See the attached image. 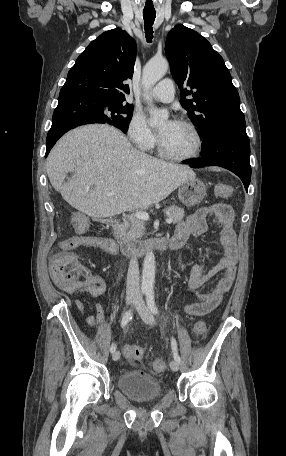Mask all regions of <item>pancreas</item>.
Returning <instances> with one entry per match:
<instances>
[{
  "mask_svg": "<svg viewBox=\"0 0 286 456\" xmlns=\"http://www.w3.org/2000/svg\"><path fill=\"white\" fill-rule=\"evenodd\" d=\"M166 213L172 218L173 223L176 224L184 218V209L171 205L166 209ZM144 221L136 218L135 216H130L124 220V223L121 224L117 229L118 237L124 242H135L138 238H141L145 232Z\"/></svg>",
  "mask_w": 286,
  "mask_h": 456,
  "instance_id": "cf45deb5",
  "label": "pancreas"
}]
</instances>
